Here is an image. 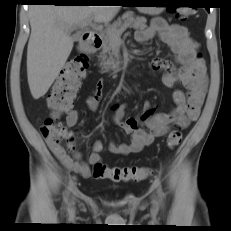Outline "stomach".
I'll list each match as a JSON object with an SVG mask.
<instances>
[{"mask_svg":"<svg viewBox=\"0 0 231 231\" xmlns=\"http://www.w3.org/2000/svg\"><path fill=\"white\" fill-rule=\"evenodd\" d=\"M141 4H160L158 0H142L139 1ZM164 7H138L139 12L149 15H157L163 11Z\"/></svg>","mask_w":231,"mask_h":231,"instance_id":"obj_1","label":"stomach"}]
</instances>
